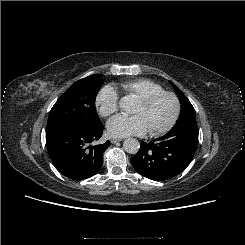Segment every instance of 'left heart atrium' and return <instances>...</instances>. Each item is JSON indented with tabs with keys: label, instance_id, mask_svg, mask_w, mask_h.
Listing matches in <instances>:
<instances>
[{
	"label": "left heart atrium",
	"instance_id": "39dd6f15",
	"mask_svg": "<svg viewBox=\"0 0 245 245\" xmlns=\"http://www.w3.org/2000/svg\"><path fill=\"white\" fill-rule=\"evenodd\" d=\"M108 134L112 137L144 135L148 131L143 120L138 115L116 116L107 124Z\"/></svg>",
	"mask_w": 245,
	"mask_h": 245
}]
</instances>
